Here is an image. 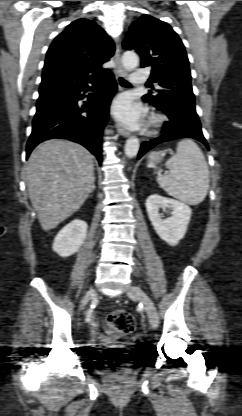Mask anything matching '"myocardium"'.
Masks as SVG:
<instances>
[{
  "label": "myocardium",
  "instance_id": "1",
  "mask_svg": "<svg viewBox=\"0 0 242 416\" xmlns=\"http://www.w3.org/2000/svg\"><path fill=\"white\" fill-rule=\"evenodd\" d=\"M163 122H164V117L162 115L152 114L150 115L148 119L147 125L151 131H154L158 129L162 125Z\"/></svg>",
  "mask_w": 242,
  "mask_h": 416
}]
</instances>
